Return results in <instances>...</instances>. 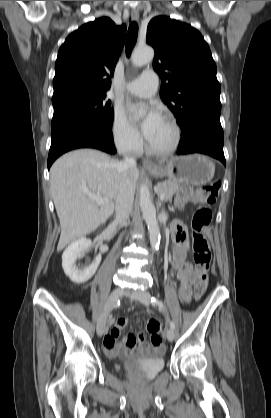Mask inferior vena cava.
<instances>
[{
    "label": "inferior vena cava",
    "mask_w": 271,
    "mask_h": 418,
    "mask_svg": "<svg viewBox=\"0 0 271 418\" xmlns=\"http://www.w3.org/2000/svg\"><path fill=\"white\" fill-rule=\"evenodd\" d=\"M124 165L130 168L136 165L135 158L125 156ZM134 191L131 189L129 182L123 180L119 187V192L116 198V218L115 221L119 224H125L133 208Z\"/></svg>",
    "instance_id": "602c4592"
}]
</instances>
